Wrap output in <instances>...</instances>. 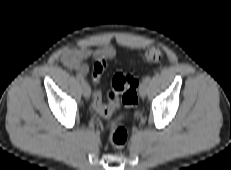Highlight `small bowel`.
I'll return each instance as SVG.
<instances>
[{
  "label": "small bowel",
  "mask_w": 231,
  "mask_h": 170,
  "mask_svg": "<svg viewBox=\"0 0 231 170\" xmlns=\"http://www.w3.org/2000/svg\"><path fill=\"white\" fill-rule=\"evenodd\" d=\"M115 54L116 49L111 44H104L97 49H91L83 45L66 49L61 55V62L65 67L83 76L89 72V61L96 62L101 59H110Z\"/></svg>",
  "instance_id": "small-bowel-1"
}]
</instances>
